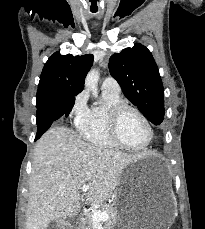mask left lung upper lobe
Masks as SVG:
<instances>
[{
	"mask_svg": "<svg viewBox=\"0 0 205 229\" xmlns=\"http://www.w3.org/2000/svg\"><path fill=\"white\" fill-rule=\"evenodd\" d=\"M109 70L124 95L153 124L164 118V91L158 67L150 51L136 43L110 57Z\"/></svg>",
	"mask_w": 205,
	"mask_h": 229,
	"instance_id": "obj_1",
	"label": "left lung upper lobe"
}]
</instances>
